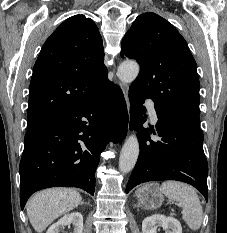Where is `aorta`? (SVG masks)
<instances>
[{
    "label": "aorta",
    "mask_w": 227,
    "mask_h": 233,
    "mask_svg": "<svg viewBox=\"0 0 227 233\" xmlns=\"http://www.w3.org/2000/svg\"><path fill=\"white\" fill-rule=\"evenodd\" d=\"M139 73V65L134 61H124L118 67L117 75L119 79L124 83L133 82ZM139 155V142L135 135L129 136L124 143L120 158H119V170L122 173L130 172L138 159Z\"/></svg>",
    "instance_id": "762f6f07"
}]
</instances>
